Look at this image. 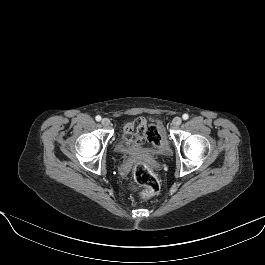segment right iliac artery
Listing matches in <instances>:
<instances>
[{
    "instance_id": "82829eb1",
    "label": "right iliac artery",
    "mask_w": 265,
    "mask_h": 265,
    "mask_svg": "<svg viewBox=\"0 0 265 265\" xmlns=\"http://www.w3.org/2000/svg\"><path fill=\"white\" fill-rule=\"evenodd\" d=\"M95 119H96V121H100V120H101V116L97 115V116L95 117Z\"/></svg>"
}]
</instances>
